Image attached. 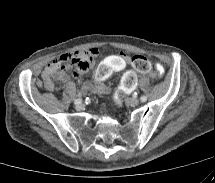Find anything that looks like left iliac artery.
I'll list each match as a JSON object with an SVG mask.
<instances>
[{
	"mask_svg": "<svg viewBox=\"0 0 215 183\" xmlns=\"http://www.w3.org/2000/svg\"><path fill=\"white\" fill-rule=\"evenodd\" d=\"M140 100H141L142 102H145V101H147V97H146V96H141Z\"/></svg>",
	"mask_w": 215,
	"mask_h": 183,
	"instance_id": "obj_1",
	"label": "left iliac artery"
}]
</instances>
